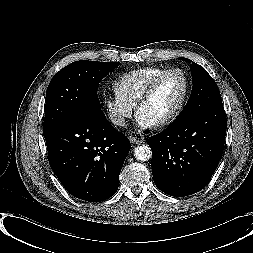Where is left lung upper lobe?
<instances>
[{"label":"left lung upper lobe","instance_id":"obj_1","mask_svg":"<svg viewBox=\"0 0 253 253\" xmlns=\"http://www.w3.org/2000/svg\"><path fill=\"white\" fill-rule=\"evenodd\" d=\"M182 59L191 63L190 69L192 73L193 87L186 110H183L177 120L210 109L217 104H222L220 91L208 72L195 62L186 58Z\"/></svg>","mask_w":253,"mask_h":253}]
</instances>
